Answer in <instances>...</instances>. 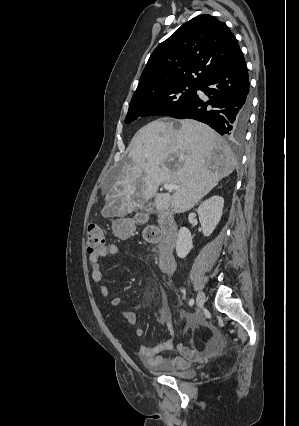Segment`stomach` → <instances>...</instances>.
Here are the masks:
<instances>
[{"label":"stomach","mask_w":299,"mask_h":426,"mask_svg":"<svg viewBox=\"0 0 299 426\" xmlns=\"http://www.w3.org/2000/svg\"><path fill=\"white\" fill-rule=\"evenodd\" d=\"M113 231L118 236H124L127 234V229L125 228V221L119 219L113 222Z\"/></svg>","instance_id":"0dacf381"}]
</instances>
